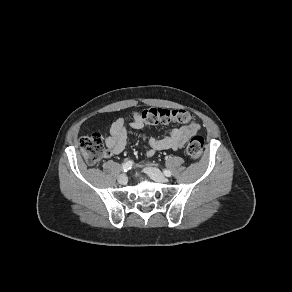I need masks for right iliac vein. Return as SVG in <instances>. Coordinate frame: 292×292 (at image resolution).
Listing matches in <instances>:
<instances>
[{"label": "right iliac vein", "instance_id": "1", "mask_svg": "<svg viewBox=\"0 0 292 292\" xmlns=\"http://www.w3.org/2000/svg\"><path fill=\"white\" fill-rule=\"evenodd\" d=\"M128 181L126 174H122L118 177V183L121 185H125Z\"/></svg>", "mask_w": 292, "mask_h": 292}]
</instances>
